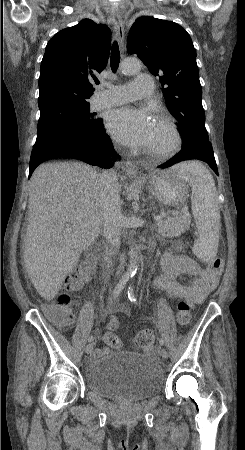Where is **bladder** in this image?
Instances as JSON below:
<instances>
[{"instance_id": "31cf9c89", "label": "bladder", "mask_w": 245, "mask_h": 450, "mask_svg": "<svg viewBox=\"0 0 245 450\" xmlns=\"http://www.w3.org/2000/svg\"><path fill=\"white\" fill-rule=\"evenodd\" d=\"M83 377L87 389L97 395L129 400L157 395L165 381L164 370L157 361L127 351L92 358Z\"/></svg>"}]
</instances>
